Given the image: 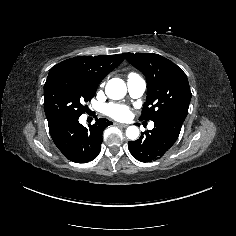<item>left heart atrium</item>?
Listing matches in <instances>:
<instances>
[{
    "mask_svg": "<svg viewBox=\"0 0 236 236\" xmlns=\"http://www.w3.org/2000/svg\"><path fill=\"white\" fill-rule=\"evenodd\" d=\"M103 112L113 119H124L129 116L130 108L124 104L109 103L104 106Z\"/></svg>",
    "mask_w": 236,
    "mask_h": 236,
    "instance_id": "left-heart-atrium-1",
    "label": "left heart atrium"
}]
</instances>
